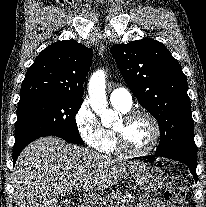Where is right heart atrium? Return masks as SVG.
<instances>
[{"mask_svg": "<svg viewBox=\"0 0 206 207\" xmlns=\"http://www.w3.org/2000/svg\"><path fill=\"white\" fill-rule=\"evenodd\" d=\"M74 122L82 140L91 148L105 151L107 135L88 100H83L74 114Z\"/></svg>", "mask_w": 206, "mask_h": 207, "instance_id": "d8ad5b80", "label": "right heart atrium"}]
</instances>
